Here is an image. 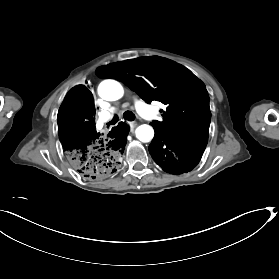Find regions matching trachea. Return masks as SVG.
Here are the masks:
<instances>
[{
	"instance_id": "obj_1",
	"label": "trachea",
	"mask_w": 279,
	"mask_h": 279,
	"mask_svg": "<svg viewBox=\"0 0 279 279\" xmlns=\"http://www.w3.org/2000/svg\"><path fill=\"white\" fill-rule=\"evenodd\" d=\"M123 117L125 120L133 121L135 119V115L133 114L132 111H125L123 114ZM118 116L115 115L112 119V124H115L118 121Z\"/></svg>"
}]
</instances>
